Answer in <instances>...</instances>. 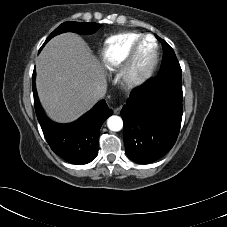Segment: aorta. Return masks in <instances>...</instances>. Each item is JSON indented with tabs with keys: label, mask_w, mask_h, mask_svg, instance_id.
<instances>
[{
	"label": "aorta",
	"mask_w": 227,
	"mask_h": 227,
	"mask_svg": "<svg viewBox=\"0 0 227 227\" xmlns=\"http://www.w3.org/2000/svg\"><path fill=\"white\" fill-rule=\"evenodd\" d=\"M107 126L111 131H120L123 128V121L121 117L113 115L108 118Z\"/></svg>",
	"instance_id": "obj_1"
}]
</instances>
